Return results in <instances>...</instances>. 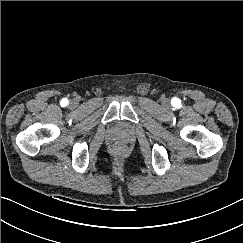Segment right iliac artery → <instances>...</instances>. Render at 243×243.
Listing matches in <instances>:
<instances>
[{
	"instance_id": "1",
	"label": "right iliac artery",
	"mask_w": 243,
	"mask_h": 243,
	"mask_svg": "<svg viewBox=\"0 0 243 243\" xmlns=\"http://www.w3.org/2000/svg\"><path fill=\"white\" fill-rule=\"evenodd\" d=\"M68 104L67 100H62V106H66Z\"/></svg>"
}]
</instances>
